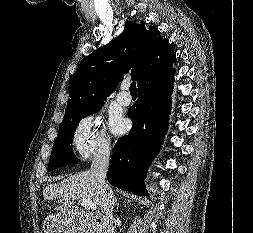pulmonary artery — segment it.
<instances>
[{"label":"pulmonary artery","mask_w":253,"mask_h":233,"mask_svg":"<svg viewBox=\"0 0 253 233\" xmlns=\"http://www.w3.org/2000/svg\"><path fill=\"white\" fill-rule=\"evenodd\" d=\"M127 87V84H123L120 93L116 97L117 102L124 107L131 104V97L127 93Z\"/></svg>","instance_id":"e3ab8cb5"}]
</instances>
